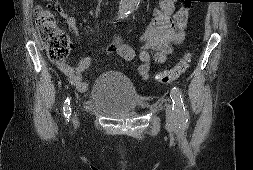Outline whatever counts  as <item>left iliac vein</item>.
<instances>
[{
  "label": "left iliac vein",
  "mask_w": 253,
  "mask_h": 170,
  "mask_svg": "<svg viewBox=\"0 0 253 170\" xmlns=\"http://www.w3.org/2000/svg\"><path fill=\"white\" fill-rule=\"evenodd\" d=\"M166 122L170 127H174L177 124V120L171 104H168L166 108Z\"/></svg>",
  "instance_id": "4c4485c4"
}]
</instances>
